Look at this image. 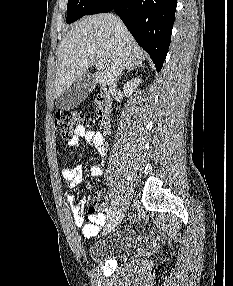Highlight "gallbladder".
<instances>
[{
	"label": "gallbladder",
	"mask_w": 233,
	"mask_h": 286,
	"mask_svg": "<svg viewBox=\"0 0 233 286\" xmlns=\"http://www.w3.org/2000/svg\"><path fill=\"white\" fill-rule=\"evenodd\" d=\"M94 86L93 74L85 72L56 99V107L60 110L74 108L86 99Z\"/></svg>",
	"instance_id": "obj_1"
}]
</instances>
